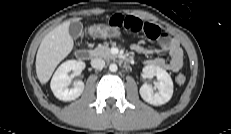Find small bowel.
<instances>
[{
	"mask_svg": "<svg viewBox=\"0 0 231 134\" xmlns=\"http://www.w3.org/2000/svg\"><path fill=\"white\" fill-rule=\"evenodd\" d=\"M109 26L119 31L143 33L148 39L157 41L151 46L147 41H140L132 49L146 54L163 55L169 58H155L148 62L149 66L179 72L183 66V52L178 41L163 32L157 25L146 22L136 16L115 14L109 19Z\"/></svg>",
	"mask_w": 231,
	"mask_h": 134,
	"instance_id": "1",
	"label": "small bowel"
}]
</instances>
